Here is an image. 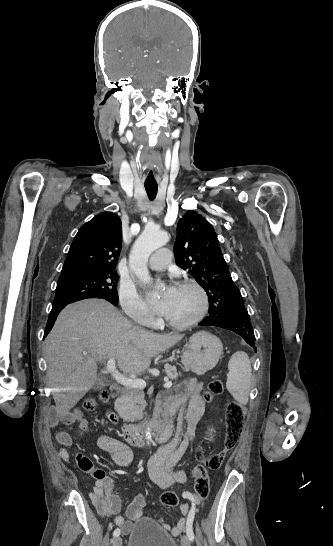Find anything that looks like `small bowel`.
<instances>
[{"label": "small bowel", "mask_w": 333, "mask_h": 546, "mask_svg": "<svg viewBox=\"0 0 333 546\" xmlns=\"http://www.w3.org/2000/svg\"><path fill=\"white\" fill-rule=\"evenodd\" d=\"M202 389L203 383L200 380L191 379L178 385L174 394H162L157 400V414L166 417L167 430L165 435L159 439L163 446L150 460L149 475L159 487H171L175 484H182L186 480L184 472L177 468V464L192 444L196 424L205 410ZM176 414H178L176 433L172 437ZM58 421L66 424L78 421L82 429L89 430L88 422L78 410L69 414L62 413L53 416L51 425L55 426ZM56 439L60 444L58 456L63 461L70 462L71 456L67 448L72 446L71 436L64 431H57ZM98 445L120 467H128L133 461L132 449L124 442L111 436H101ZM75 461L82 471L92 474L96 479L90 498L98 514L102 517L114 516V524L119 526L124 533H128L132 523L142 518L143 510L147 504L145 494L139 493L134 497L126 510L127 519H125L123 516L117 515L120 511L121 501L113 493L110 482L108 478L104 477L103 472L96 470L92 461L81 453L75 454ZM184 497L190 501V505H181V512L185 518H181L173 527L167 524L164 518L158 519V523L174 536L180 535L185 530L187 519L196 512L195 496L190 492H185Z\"/></svg>", "instance_id": "obj_1"}]
</instances>
